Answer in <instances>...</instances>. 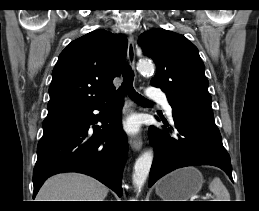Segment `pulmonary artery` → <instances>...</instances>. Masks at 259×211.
Here are the masks:
<instances>
[{"label": "pulmonary artery", "instance_id": "e3ab8cb5", "mask_svg": "<svg viewBox=\"0 0 259 211\" xmlns=\"http://www.w3.org/2000/svg\"><path fill=\"white\" fill-rule=\"evenodd\" d=\"M147 96L149 99L160 101L164 105L168 116L172 118V108L160 90L150 88L147 92Z\"/></svg>", "mask_w": 259, "mask_h": 211}]
</instances>
